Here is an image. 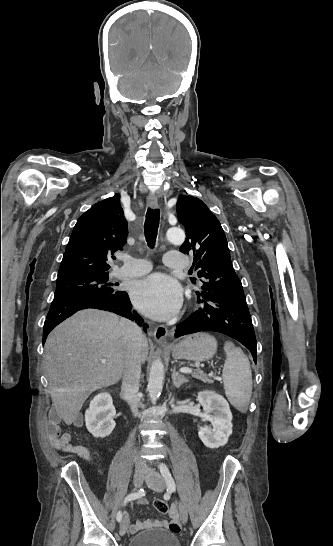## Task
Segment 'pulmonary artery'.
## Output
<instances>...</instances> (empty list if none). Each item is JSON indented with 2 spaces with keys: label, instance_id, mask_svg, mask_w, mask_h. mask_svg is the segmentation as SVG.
I'll return each instance as SVG.
<instances>
[{
  "label": "pulmonary artery",
  "instance_id": "e3ab8cb5",
  "mask_svg": "<svg viewBox=\"0 0 333 546\" xmlns=\"http://www.w3.org/2000/svg\"><path fill=\"white\" fill-rule=\"evenodd\" d=\"M163 261L166 266L173 269H183L188 264L187 259L176 251L167 252ZM151 267L150 262L145 259L126 257L124 258V264L115 271L114 276L118 278L140 276L148 273Z\"/></svg>",
  "mask_w": 333,
  "mask_h": 546
}]
</instances>
